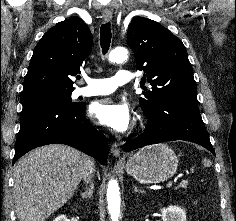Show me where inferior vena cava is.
<instances>
[{"mask_svg":"<svg viewBox=\"0 0 236 221\" xmlns=\"http://www.w3.org/2000/svg\"><path fill=\"white\" fill-rule=\"evenodd\" d=\"M94 174V163L91 158L87 157L83 169V179L85 182H91V178Z\"/></svg>","mask_w":236,"mask_h":221,"instance_id":"1","label":"inferior vena cava"}]
</instances>
